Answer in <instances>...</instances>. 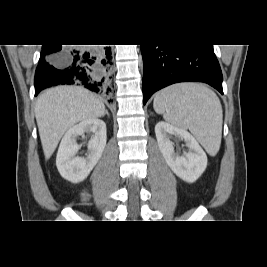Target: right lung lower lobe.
<instances>
[{
    "instance_id": "98d812e1",
    "label": "right lung lower lobe",
    "mask_w": 267,
    "mask_h": 267,
    "mask_svg": "<svg viewBox=\"0 0 267 267\" xmlns=\"http://www.w3.org/2000/svg\"><path fill=\"white\" fill-rule=\"evenodd\" d=\"M111 48L72 49L62 45H43L35 72V96L57 85H79L109 97L114 90L110 69Z\"/></svg>"
}]
</instances>
